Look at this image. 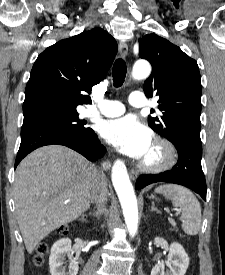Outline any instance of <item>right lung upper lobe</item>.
<instances>
[{"label": "right lung upper lobe", "instance_id": "1", "mask_svg": "<svg viewBox=\"0 0 225 275\" xmlns=\"http://www.w3.org/2000/svg\"><path fill=\"white\" fill-rule=\"evenodd\" d=\"M117 42L102 29L82 32L48 47L35 61L25 89L24 116L72 111L91 103L83 92L99 83L112 65Z\"/></svg>", "mask_w": 225, "mask_h": 275}]
</instances>
